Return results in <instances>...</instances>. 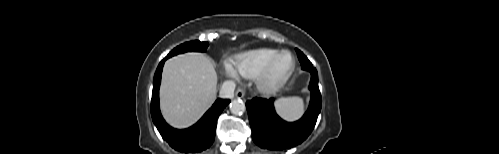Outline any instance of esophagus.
Masks as SVG:
<instances>
[{"instance_id": "34e87169", "label": "esophagus", "mask_w": 499, "mask_h": 154, "mask_svg": "<svg viewBox=\"0 0 499 154\" xmlns=\"http://www.w3.org/2000/svg\"><path fill=\"white\" fill-rule=\"evenodd\" d=\"M237 98H244L246 96V92L243 88H238L235 93Z\"/></svg>"}]
</instances>
